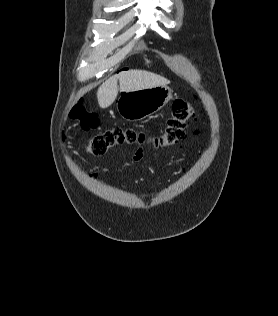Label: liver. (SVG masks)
<instances>
[{"label":"liver","mask_w":278,"mask_h":316,"mask_svg":"<svg viewBox=\"0 0 278 316\" xmlns=\"http://www.w3.org/2000/svg\"><path fill=\"white\" fill-rule=\"evenodd\" d=\"M118 80L121 92L138 91L169 83L166 78L144 70L120 72L111 76L98 88L97 99L101 108H107L115 101L118 95Z\"/></svg>","instance_id":"liver-1"}]
</instances>
